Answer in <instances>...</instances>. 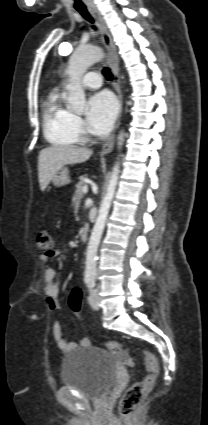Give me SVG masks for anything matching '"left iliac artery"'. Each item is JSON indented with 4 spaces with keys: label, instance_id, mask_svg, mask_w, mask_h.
I'll use <instances>...</instances> for the list:
<instances>
[{
    "label": "left iliac artery",
    "instance_id": "obj_1",
    "mask_svg": "<svg viewBox=\"0 0 208 425\" xmlns=\"http://www.w3.org/2000/svg\"><path fill=\"white\" fill-rule=\"evenodd\" d=\"M86 283L88 285L89 290H92L94 288V286H95V281L93 279L87 280Z\"/></svg>",
    "mask_w": 208,
    "mask_h": 425
}]
</instances>
